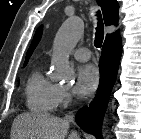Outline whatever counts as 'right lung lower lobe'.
<instances>
[{"label": "right lung lower lobe", "instance_id": "obj_1", "mask_svg": "<svg viewBox=\"0 0 141 139\" xmlns=\"http://www.w3.org/2000/svg\"><path fill=\"white\" fill-rule=\"evenodd\" d=\"M121 57V37L111 36L105 39L99 62V93L88 107H83L76 114L77 124L87 133L101 139V125L108 104L110 92L115 83Z\"/></svg>", "mask_w": 141, "mask_h": 139}]
</instances>
